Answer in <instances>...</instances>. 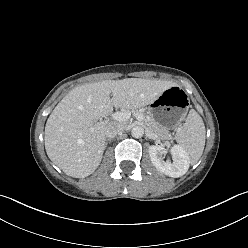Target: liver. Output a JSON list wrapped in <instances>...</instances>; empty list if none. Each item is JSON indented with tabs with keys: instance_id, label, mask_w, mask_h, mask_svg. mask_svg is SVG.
<instances>
[{
	"instance_id": "liver-1",
	"label": "liver",
	"mask_w": 248,
	"mask_h": 248,
	"mask_svg": "<svg viewBox=\"0 0 248 248\" xmlns=\"http://www.w3.org/2000/svg\"><path fill=\"white\" fill-rule=\"evenodd\" d=\"M174 85L171 81L126 78L72 89L46 122L44 140L48 157L68 176L91 175L102 160L106 144L104 131L109 124H94V121L111 114L113 107H144Z\"/></svg>"
}]
</instances>
